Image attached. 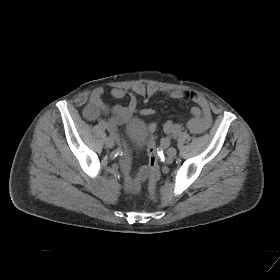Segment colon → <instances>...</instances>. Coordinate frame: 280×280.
Wrapping results in <instances>:
<instances>
[{"instance_id": "obj_1", "label": "colon", "mask_w": 280, "mask_h": 280, "mask_svg": "<svg viewBox=\"0 0 280 280\" xmlns=\"http://www.w3.org/2000/svg\"><path fill=\"white\" fill-rule=\"evenodd\" d=\"M147 154H148V192L151 200L157 199L156 193V183L159 178V148L156 145L155 138L151 137L147 145Z\"/></svg>"}]
</instances>
